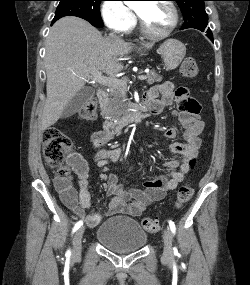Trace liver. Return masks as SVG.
<instances>
[{
	"mask_svg": "<svg viewBox=\"0 0 250 285\" xmlns=\"http://www.w3.org/2000/svg\"><path fill=\"white\" fill-rule=\"evenodd\" d=\"M153 45L145 44L149 49ZM132 43L106 37L87 21L67 16L50 29L46 40L45 70L47 98L40 130L55 124L64 109L95 72L114 76Z\"/></svg>",
	"mask_w": 250,
	"mask_h": 285,
	"instance_id": "1",
	"label": "liver"
}]
</instances>
